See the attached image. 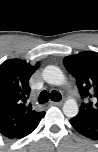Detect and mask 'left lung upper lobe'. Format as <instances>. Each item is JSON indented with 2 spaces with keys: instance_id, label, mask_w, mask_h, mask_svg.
<instances>
[{
  "instance_id": "obj_1",
  "label": "left lung upper lobe",
  "mask_w": 98,
  "mask_h": 152,
  "mask_svg": "<svg viewBox=\"0 0 98 152\" xmlns=\"http://www.w3.org/2000/svg\"><path fill=\"white\" fill-rule=\"evenodd\" d=\"M63 63L75 77L82 99L86 100L76 117L98 123V53L81 52L65 57Z\"/></svg>"
}]
</instances>
